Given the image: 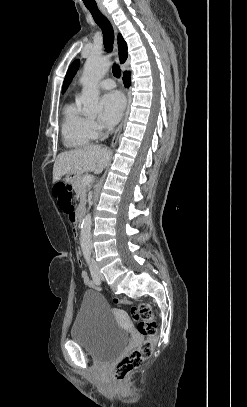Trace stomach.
Returning <instances> with one entry per match:
<instances>
[{
	"label": "stomach",
	"mask_w": 247,
	"mask_h": 407,
	"mask_svg": "<svg viewBox=\"0 0 247 407\" xmlns=\"http://www.w3.org/2000/svg\"><path fill=\"white\" fill-rule=\"evenodd\" d=\"M80 175H73V174H67V176L65 177V182L67 183H73L75 181V179L77 177H79Z\"/></svg>",
	"instance_id": "obj_1"
}]
</instances>
